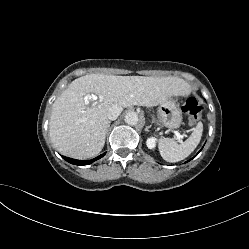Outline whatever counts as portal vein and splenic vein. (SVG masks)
I'll return each instance as SVG.
<instances>
[{"label": "portal vein and splenic vein", "mask_w": 249, "mask_h": 249, "mask_svg": "<svg viewBox=\"0 0 249 249\" xmlns=\"http://www.w3.org/2000/svg\"><path fill=\"white\" fill-rule=\"evenodd\" d=\"M177 139L182 142V139L184 138V135H180L178 132H175Z\"/></svg>", "instance_id": "obj_1"}]
</instances>
